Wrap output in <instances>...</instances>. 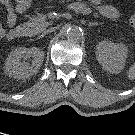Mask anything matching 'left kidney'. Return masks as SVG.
<instances>
[{
  "instance_id": "obj_1",
  "label": "left kidney",
  "mask_w": 135,
  "mask_h": 135,
  "mask_svg": "<svg viewBox=\"0 0 135 135\" xmlns=\"http://www.w3.org/2000/svg\"><path fill=\"white\" fill-rule=\"evenodd\" d=\"M128 49L125 45L104 40L96 45V56L103 69L110 73H120L125 65Z\"/></svg>"
}]
</instances>
